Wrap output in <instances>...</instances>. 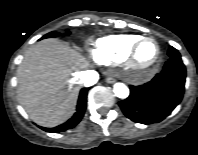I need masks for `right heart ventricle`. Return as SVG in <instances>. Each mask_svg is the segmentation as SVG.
<instances>
[{
    "label": "right heart ventricle",
    "mask_w": 198,
    "mask_h": 155,
    "mask_svg": "<svg viewBox=\"0 0 198 155\" xmlns=\"http://www.w3.org/2000/svg\"><path fill=\"white\" fill-rule=\"evenodd\" d=\"M139 35L119 34L99 38L94 45L93 56L102 64L119 63L125 60L135 43L141 39Z\"/></svg>",
    "instance_id": "e07e8e85"
}]
</instances>
